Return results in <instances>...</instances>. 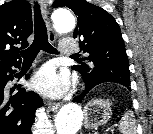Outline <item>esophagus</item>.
I'll use <instances>...</instances> for the list:
<instances>
[{
  "label": "esophagus",
  "mask_w": 153,
  "mask_h": 134,
  "mask_svg": "<svg viewBox=\"0 0 153 134\" xmlns=\"http://www.w3.org/2000/svg\"><path fill=\"white\" fill-rule=\"evenodd\" d=\"M38 1H39V5L41 7L42 16H43L44 21L47 26L49 39L51 42H55L56 37H55V34H54L52 27L50 25L49 19H48L47 1L46 0H38ZM60 106H61V103H56V102H49L48 103V108L51 111H57Z\"/></svg>",
  "instance_id": "obj_1"
}]
</instances>
